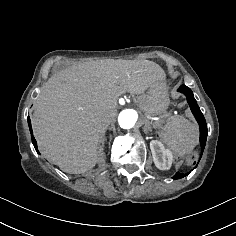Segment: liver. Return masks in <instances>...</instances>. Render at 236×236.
<instances>
[{"mask_svg":"<svg viewBox=\"0 0 236 236\" xmlns=\"http://www.w3.org/2000/svg\"><path fill=\"white\" fill-rule=\"evenodd\" d=\"M165 73L149 60L102 59L53 74L32 117L39 150L66 173L85 172L104 159L101 136L125 93L144 95Z\"/></svg>","mask_w":236,"mask_h":236,"instance_id":"1","label":"liver"}]
</instances>
